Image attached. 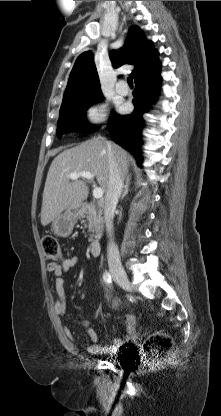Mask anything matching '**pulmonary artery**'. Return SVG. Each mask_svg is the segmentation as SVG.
Returning <instances> with one entry per match:
<instances>
[{
	"mask_svg": "<svg viewBox=\"0 0 221 416\" xmlns=\"http://www.w3.org/2000/svg\"><path fill=\"white\" fill-rule=\"evenodd\" d=\"M116 91L120 95H127L129 93V88L124 86V82L120 81L116 87Z\"/></svg>",
	"mask_w": 221,
	"mask_h": 416,
	"instance_id": "obj_1",
	"label": "pulmonary artery"
}]
</instances>
